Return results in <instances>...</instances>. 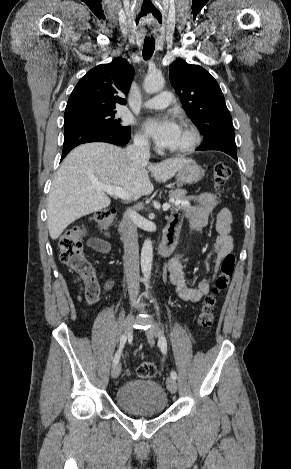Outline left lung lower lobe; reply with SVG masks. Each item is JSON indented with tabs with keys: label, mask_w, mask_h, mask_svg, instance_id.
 <instances>
[{
	"label": "left lung lower lobe",
	"mask_w": 291,
	"mask_h": 469,
	"mask_svg": "<svg viewBox=\"0 0 291 469\" xmlns=\"http://www.w3.org/2000/svg\"><path fill=\"white\" fill-rule=\"evenodd\" d=\"M197 150H219L225 152L237 160L236 155V144L232 141H217L208 145H203L197 148Z\"/></svg>",
	"instance_id": "obj_1"
}]
</instances>
